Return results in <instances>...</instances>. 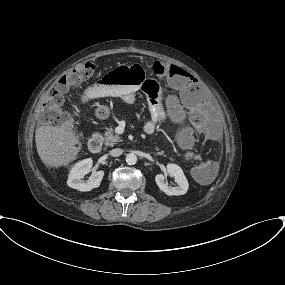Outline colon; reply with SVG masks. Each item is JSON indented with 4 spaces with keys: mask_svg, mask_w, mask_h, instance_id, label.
I'll return each instance as SVG.
<instances>
[{
    "mask_svg": "<svg viewBox=\"0 0 285 285\" xmlns=\"http://www.w3.org/2000/svg\"><path fill=\"white\" fill-rule=\"evenodd\" d=\"M151 69L156 76L172 81H175L179 75H181V69L178 67L160 62L152 63ZM94 73L95 66L91 62L85 61L77 64L68 73L62 76L41 102V117L49 121L66 119L67 116L64 109L65 93H67L72 86L92 77ZM143 76L144 68L138 63H132L105 74L101 79L100 85L115 88L128 85L129 83H140ZM142 89L149 98L157 99L159 97V87L155 82L145 83ZM189 119L197 131L204 125V118L199 109H191L189 111ZM185 159L197 162V165L192 169V174L199 181H209L214 177L216 172L215 165L210 162L202 161L195 151L187 152Z\"/></svg>",
    "mask_w": 285,
    "mask_h": 285,
    "instance_id": "obj_1",
    "label": "colon"
}]
</instances>
